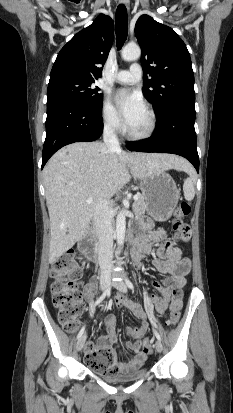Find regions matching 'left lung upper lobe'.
<instances>
[{
  "instance_id": "1",
  "label": "left lung upper lobe",
  "mask_w": 233,
  "mask_h": 413,
  "mask_svg": "<svg viewBox=\"0 0 233 413\" xmlns=\"http://www.w3.org/2000/svg\"><path fill=\"white\" fill-rule=\"evenodd\" d=\"M135 35L142 48L143 88L158 115L177 107L195 112L194 73L183 40L148 15L137 20Z\"/></svg>"
}]
</instances>
